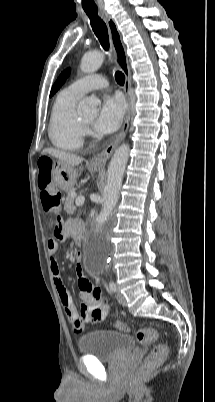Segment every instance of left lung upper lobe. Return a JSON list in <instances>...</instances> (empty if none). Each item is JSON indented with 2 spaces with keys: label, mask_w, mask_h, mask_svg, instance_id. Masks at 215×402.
I'll use <instances>...</instances> for the list:
<instances>
[{
  "label": "left lung upper lobe",
  "mask_w": 215,
  "mask_h": 402,
  "mask_svg": "<svg viewBox=\"0 0 215 402\" xmlns=\"http://www.w3.org/2000/svg\"><path fill=\"white\" fill-rule=\"evenodd\" d=\"M70 74V68L64 70L61 75L59 76V78L57 79V81L55 82V84L53 85L51 92H50V97L54 95V93L63 85V83L65 82L66 78L69 76Z\"/></svg>",
  "instance_id": "left-lung-upper-lobe-1"
}]
</instances>
